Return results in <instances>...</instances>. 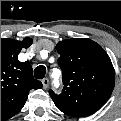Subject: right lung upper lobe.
<instances>
[{"label": "right lung upper lobe", "mask_w": 121, "mask_h": 121, "mask_svg": "<svg viewBox=\"0 0 121 121\" xmlns=\"http://www.w3.org/2000/svg\"><path fill=\"white\" fill-rule=\"evenodd\" d=\"M32 42L31 38L1 39V121L10 119L23 108L31 89L42 87V83L33 78L30 63L20 62L17 57L21 49L28 48Z\"/></svg>", "instance_id": "cb5924a9"}]
</instances>
